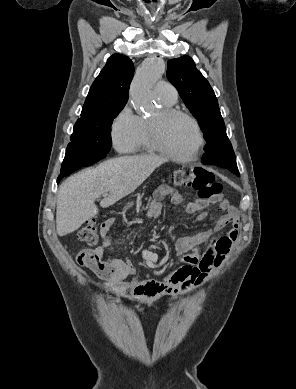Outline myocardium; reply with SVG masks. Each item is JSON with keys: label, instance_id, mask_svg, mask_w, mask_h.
Segmentation results:
<instances>
[{"label": "myocardium", "instance_id": "1", "mask_svg": "<svg viewBox=\"0 0 296 389\" xmlns=\"http://www.w3.org/2000/svg\"><path fill=\"white\" fill-rule=\"evenodd\" d=\"M173 117H184L188 119L196 132L197 142L194 149L187 155H177L168 149L162 141L160 134V122ZM148 137L152 148L178 162H191L194 161L200 154L204 146V135L198 120L190 113L183 111L176 107L164 106L160 110V115L157 120H147Z\"/></svg>", "mask_w": 296, "mask_h": 389}]
</instances>
